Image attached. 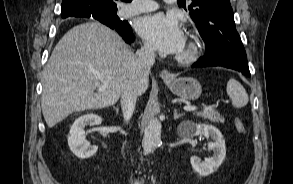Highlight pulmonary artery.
<instances>
[{
  "label": "pulmonary artery",
  "mask_w": 293,
  "mask_h": 184,
  "mask_svg": "<svg viewBox=\"0 0 293 184\" xmlns=\"http://www.w3.org/2000/svg\"><path fill=\"white\" fill-rule=\"evenodd\" d=\"M167 3H174L176 0H164ZM158 8L157 3L152 0H136L131 4L124 5L120 14L122 16H131L135 14H140L144 12H150Z\"/></svg>",
  "instance_id": "pulmonary-artery-1"
}]
</instances>
